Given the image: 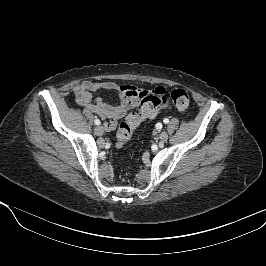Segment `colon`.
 Returning a JSON list of instances; mask_svg holds the SVG:
<instances>
[{
  "label": "colon",
  "mask_w": 266,
  "mask_h": 266,
  "mask_svg": "<svg viewBox=\"0 0 266 266\" xmlns=\"http://www.w3.org/2000/svg\"><path fill=\"white\" fill-rule=\"evenodd\" d=\"M189 105L190 99L184 89H174L169 95H166L165 92L144 94L140 102V108L129 114L120 124L117 130V147H124L129 142L134 129L145 119L157 115L161 109L174 106L179 110H185Z\"/></svg>",
  "instance_id": "5ec220e1"
}]
</instances>
